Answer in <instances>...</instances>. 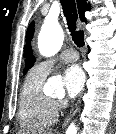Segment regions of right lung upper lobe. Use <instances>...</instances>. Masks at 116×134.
Wrapping results in <instances>:
<instances>
[{
	"label": "right lung upper lobe",
	"instance_id": "cb5924a9",
	"mask_svg": "<svg viewBox=\"0 0 116 134\" xmlns=\"http://www.w3.org/2000/svg\"><path fill=\"white\" fill-rule=\"evenodd\" d=\"M77 7L80 20L86 22L84 12L90 10V4H87L86 0H77Z\"/></svg>",
	"mask_w": 116,
	"mask_h": 134
}]
</instances>
